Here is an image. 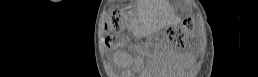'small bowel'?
Segmentation results:
<instances>
[{
  "label": "small bowel",
  "mask_w": 258,
  "mask_h": 77,
  "mask_svg": "<svg viewBox=\"0 0 258 77\" xmlns=\"http://www.w3.org/2000/svg\"><path fill=\"white\" fill-rule=\"evenodd\" d=\"M123 56H124V54H120V57H123ZM129 61L131 64H133L136 67H140L142 64L141 59L138 57H131V58H129Z\"/></svg>",
  "instance_id": "1"
}]
</instances>
